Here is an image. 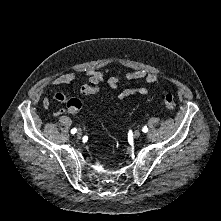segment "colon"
I'll list each match as a JSON object with an SVG mask.
<instances>
[{
  "label": "colon",
  "mask_w": 221,
  "mask_h": 221,
  "mask_svg": "<svg viewBox=\"0 0 221 221\" xmlns=\"http://www.w3.org/2000/svg\"><path fill=\"white\" fill-rule=\"evenodd\" d=\"M97 91H98V86L97 85L86 84V85H83L81 87L80 94L83 95V96H88V95L95 94ZM163 104H164V107L166 109L173 110L174 107H175V97H174V94L173 93H167L164 96ZM69 107L73 111H77V110L81 109L82 102L78 98H72L71 101L69 102Z\"/></svg>",
  "instance_id": "5ec220e1"
}]
</instances>
